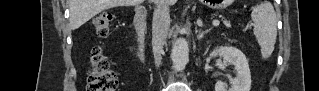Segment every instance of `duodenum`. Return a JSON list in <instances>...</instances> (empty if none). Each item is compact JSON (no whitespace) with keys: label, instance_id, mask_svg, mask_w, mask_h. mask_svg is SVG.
Returning a JSON list of instances; mask_svg holds the SVG:
<instances>
[{"label":"duodenum","instance_id":"duodenum-1","mask_svg":"<svg viewBox=\"0 0 319 91\" xmlns=\"http://www.w3.org/2000/svg\"><path fill=\"white\" fill-rule=\"evenodd\" d=\"M147 18L148 15L145 8H136L132 33L135 41L137 55L142 62H145L147 59V53L145 48V26Z\"/></svg>","mask_w":319,"mask_h":91}]
</instances>
